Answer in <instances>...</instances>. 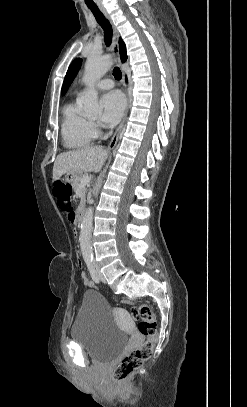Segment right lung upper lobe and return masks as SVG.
<instances>
[{
    "mask_svg": "<svg viewBox=\"0 0 247 407\" xmlns=\"http://www.w3.org/2000/svg\"><path fill=\"white\" fill-rule=\"evenodd\" d=\"M119 48H120L121 60H122V62H125L127 60L126 46H125V43L122 41V39L119 40Z\"/></svg>",
    "mask_w": 247,
    "mask_h": 407,
    "instance_id": "obj_1",
    "label": "right lung upper lobe"
}]
</instances>
